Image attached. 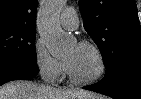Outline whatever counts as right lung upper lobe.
Listing matches in <instances>:
<instances>
[{"instance_id":"cb5924a9","label":"right lung upper lobe","mask_w":141,"mask_h":99,"mask_svg":"<svg viewBox=\"0 0 141 99\" xmlns=\"http://www.w3.org/2000/svg\"><path fill=\"white\" fill-rule=\"evenodd\" d=\"M38 0H0V26L35 27Z\"/></svg>"}]
</instances>
